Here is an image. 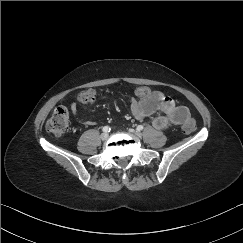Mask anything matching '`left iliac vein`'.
<instances>
[{
  "label": "left iliac vein",
  "instance_id": "4c4485c4",
  "mask_svg": "<svg viewBox=\"0 0 243 243\" xmlns=\"http://www.w3.org/2000/svg\"><path fill=\"white\" fill-rule=\"evenodd\" d=\"M135 135L140 136L141 134L138 131L133 132Z\"/></svg>",
  "mask_w": 243,
  "mask_h": 243
}]
</instances>
